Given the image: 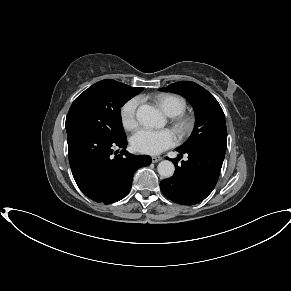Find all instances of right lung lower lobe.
Returning a JSON list of instances; mask_svg holds the SVG:
<instances>
[{"label":"right lung lower lobe","mask_w":291,"mask_h":291,"mask_svg":"<svg viewBox=\"0 0 291 291\" xmlns=\"http://www.w3.org/2000/svg\"><path fill=\"white\" fill-rule=\"evenodd\" d=\"M69 163L80 190L95 202L110 204L124 198L133 175L151 163L150 156L125 152L126 138L111 141L83 130H68ZM115 148H120L122 156Z\"/></svg>","instance_id":"right-lung-lower-lobe-1"}]
</instances>
